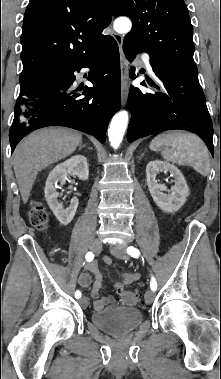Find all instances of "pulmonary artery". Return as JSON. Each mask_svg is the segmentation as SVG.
<instances>
[{"instance_id": "pulmonary-artery-1", "label": "pulmonary artery", "mask_w": 221, "mask_h": 379, "mask_svg": "<svg viewBox=\"0 0 221 379\" xmlns=\"http://www.w3.org/2000/svg\"><path fill=\"white\" fill-rule=\"evenodd\" d=\"M142 60L148 70L149 73L153 74V69H152V65H151V62H150V58L148 55H143L142 56Z\"/></svg>"}]
</instances>
